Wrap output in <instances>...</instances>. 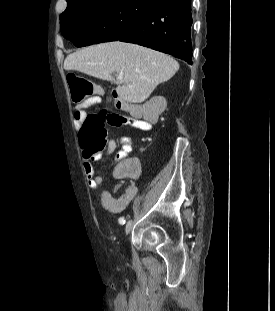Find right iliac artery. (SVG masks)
Instances as JSON below:
<instances>
[{
  "label": "right iliac artery",
  "instance_id": "right-iliac-artery-1",
  "mask_svg": "<svg viewBox=\"0 0 275 311\" xmlns=\"http://www.w3.org/2000/svg\"><path fill=\"white\" fill-rule=\"evenodd\" d=\"M119 223H120V224H125V219H124V217H120V218H119Z\"/></svg>",
  "mask_w": 275,
  "mask_h": 311
}]
</instances>
